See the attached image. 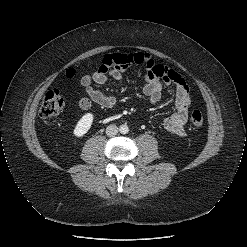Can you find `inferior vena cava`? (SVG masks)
<instances>
[{
  "instance_id": "inferior-vena-cava-1",
  "label": "inferior vena cava",
  "mask_w": 247,
  "mask_h": 247,
  "mask_svg": "<svg viewBox=\"0 0 247 247\" xmlns=\"http://www.w3.org/2000/svg\"><path fill=\"white\" fill-rule=\"evenodd\" d=\"M118 133V127L114 124H111L109 126H107L106 128V134L107 136L113 137L115 135H117Z\"/></svg>"
}]
</instances>
